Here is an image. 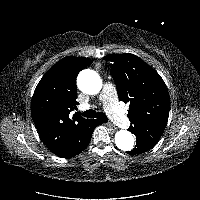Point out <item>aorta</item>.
<instances>
[{"instance_id": "aorta-1", "label": "aorta", "mask_w": 200, "mask_h": 200, "mask_svg": "<svg viewBox=\"0 0 200 200\" xmlns=\"http://www.w3.org/2000/svg\"><path fill=\"white\" fill-rule=\"evenodd\" d=\"M77 84L82 92L90 95L98 94L102 88L101 77L91 69L80 72ZM115 144L123 151H130L134 147L133 135L129 131L120 130L115 134Z\"/></svg>"}]
</instances>
